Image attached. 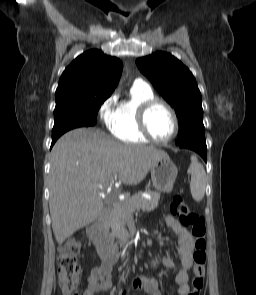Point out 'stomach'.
<instances>
[{
    "label": "stomach",
    "mask_w": 256,
    "mask_h": 295,
    "mask_svg": "<svg viewBox=\"0 0 256 295\" xmlns=\"http://www.w3.org/2000/svg\"><path fill=\"white\" fill-rule=\"evenodd\" d=\"M178 174L177 166L166 154L158 158L151 168V179L155 189L169 193Z\"/></svg>",
    "instance_id": "1"
}]
</instances>
